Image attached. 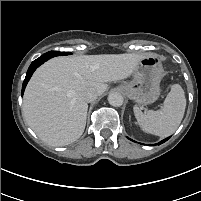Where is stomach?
Masks as SVG:
<instances>
[{
    "mask_svg": "<svg viewBox=\"0 0 201 201\" xmlns=\"http://www.w3.org/2000/svg\"><path fill=\"white\" fill-rule=\"evenodd\" d=\"M163 67L157 55H145L137 65L133 79L121 85L124 94L139 105L154 103L160 95Z\"/></svg>",
    "mask_w": 201,
    "mask_h": 201,
    "instance_id": "1",
    "label": "stomach"
}]
</instances>
